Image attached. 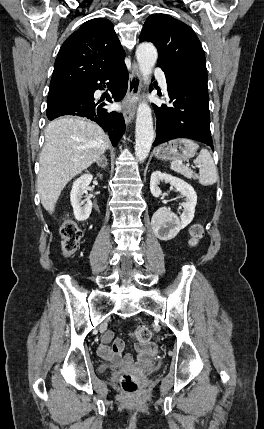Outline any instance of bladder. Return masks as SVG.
<instances>
[{
    "label": "bladder",
    "mask_w": 264,
    "mask_h": 429,
    "mask_svg": "<svg viewBox=\"0 0 264 429\" xmlns=\"http://www.w3.org/2000/svg\"><path fill=\"white\" fill-rule=\"evenodd\" d=\"M108 367H104V370H107ZM159 365L149 364L141 368V371L146 374H151L159 370Z\"/></svg>",
    "instance_id": "1"
}]
</instances>
